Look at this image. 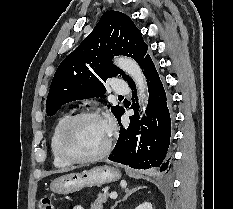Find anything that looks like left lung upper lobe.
Segmentation results:
<instances>
[{
  "label": "left lung upper lobe",
  "mask_w": 233,
  "mask_h": 209,
  "mask_svg": "<svg viewBox=\"0 0 233 209\" xmlns=\"http://www.w3.org/2000/svg\"><path fill=\"white\" fill-rule=\"evenodd\" d=\"M147 50L130 17L122 12H105L93 31L58 66L46 101L47 116L67 102L102 95L103 83L109 77L120 74L129 82L131 78L113 64V57L125 55L140 65ZM122 109L117 105L111 111L117 118Z\"/></svg>",
  "instance_id": "5c2ea615"
}]
</instances>
